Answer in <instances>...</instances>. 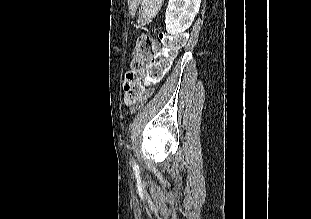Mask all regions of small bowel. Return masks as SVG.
Segmentation results:
<instances>
[{"label":"small bowel","instance_id":"1","mask_svg":"<svg viewBox=\"0 0 311 219\" xmlns=\"http://www.w3.org/2000/svg\"><path fill=\"white\" fill-rule=\"evenodd\" d=\"M165 73V72H164ZM141 73L127 72L124 78V102L132 110L139 108L152 95L156 81H151L148 86H141Z\"/></svg>","mask_w":311,"mask_h":219}]
</instances>
